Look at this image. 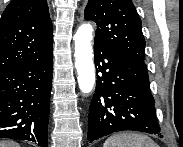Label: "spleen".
<instances>
[{
  "label": "spleen",
  "instance_id": "obj_1",
  "mask_svg": "<svg viewBox=\"0 0 183 147\" xmlns=\"http://www.w3.org/2000/svg\"><path fill=\"white\" fill-rule=\"evenodd\" d=\"M103 147H159L151 138L138 133H118L110 136Z\"/></svg>",
  "mask_w": 183,
  "mask_h": 147
}]
</instances>
